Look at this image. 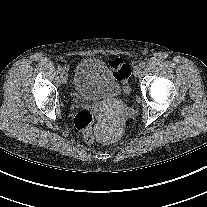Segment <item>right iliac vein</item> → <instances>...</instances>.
Masks as SVG:
<instances>
[{
  "label": "right iliac vein",
  "instance_id": "63e3f726",
  "mask_svg": "<svg viewBox=\"0 0 207 207\" xmlns=\"http://www.w3.org/2000/svg\"><path fill=\"white\" fill-rule=\"evenodd\" d=\"M61 81L63 84H66L67 81H68V77H67V74L65 72H62L61 74Z\"/></svg>",
  "mask_w": 207,
  "mask_h": 207
}]
</instances>
